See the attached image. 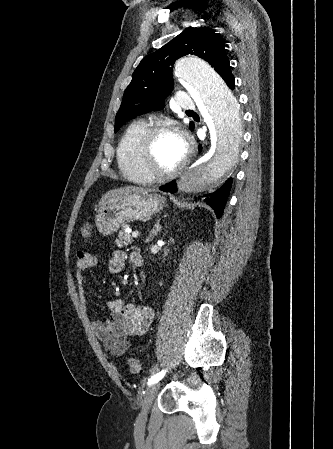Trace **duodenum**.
<instances>
[{"label": "duodenum", "mask_w": 333, "mask_h": 449, "mask_svg": "<svg viewBox=\"0 0 333 449\" xmlns=\"http://www.w3.org/2000/svg\"><path fill=\"white\" fill-rule=\"evenodd\" d=\"M134 262L137 266H141L143 263L142 256L138 253H135Z\"/></svg>", "instance_id": "obj_1"}]
</instances>
